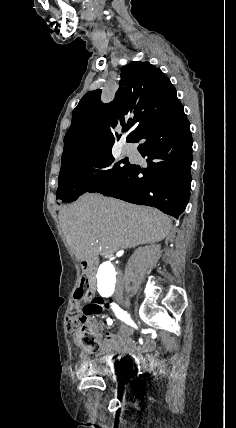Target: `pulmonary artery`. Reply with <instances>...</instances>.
<instances>
[{"label": "pulmonary artery", "instance_id": "1", "mask_svg": "<svg viewBox=\"0 0 236 428\" xmlns=\"http://www.w3.org/2000/svg\"><path fill=\"white\" fill-rule=\"evenodd\" d=\"M122 150L125 154H131L135 150V148L131 144H124L122 146Z\"/></svg>", "mask_w": 236, "mask_h": 428}]
</instances>
